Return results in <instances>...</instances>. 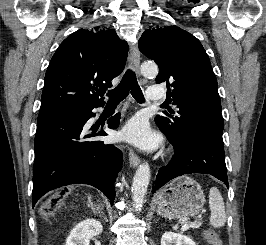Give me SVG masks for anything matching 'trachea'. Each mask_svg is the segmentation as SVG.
<instances>
[{
    "label": "trachea",
    "instance_id": "1",
    "mask_svg": "<svg viewBox=\"0 0 266 245\" xmlns=\"http://www.w3.org/2000/svg\"><path fill=\"white\" fill-rule=\"evenodd\" d=\"M131 91V95L137 100L139 103H143L145 101L142 90L140 89L136 75L131 70H128L122 81L119 83L118 87L114 88V90H110L108 93L109 100L108 103H119L124 98H126Z\"/></svg>",
    "mask_w": 266,
    "mask_h": 245
}]
</instances>
